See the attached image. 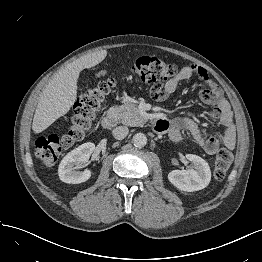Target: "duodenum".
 I'll return each mask as SVG.
<instances>
[{"label":"duodenum","instance_id":"duodenum-1","mask_svg":"<svg viewBox=\"0 0 262 262\" xmlns=\"http://www.w3.org/2000/svg\"><path fill=\"white\" fill-rule=\"evenodd\" d=\"M117 122V114L115 112L106 114L101 119V124L105 129H112ZM161 123L160 120H157L155 123V129L159 130Z\"/></svg>","mask_w":262,"mask_h":262}]
</instances>
